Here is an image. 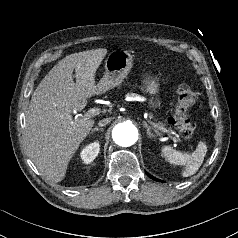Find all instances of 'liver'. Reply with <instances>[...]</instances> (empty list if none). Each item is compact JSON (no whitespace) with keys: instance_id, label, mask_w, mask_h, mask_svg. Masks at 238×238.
Here are the masks:
<instances>
[{"instance_id":"liver-1","label":"liver","mask_w":238,"mask_h":238,"mask_svg":"<svg viewBox=\"0 0 238 238\" xmlns=\"http://www.w3.org/2000/svg\"><path fill=\"white\" fill-rule=\"evenodd\" d=\"M106 54L102 48L66 56L32 94L25 142L36 167L53 182L63 180L71 158L94 125L90 117L72 113L82 111L87 99L100 93L95 74Z\"/></svg>"}]
</instances>
